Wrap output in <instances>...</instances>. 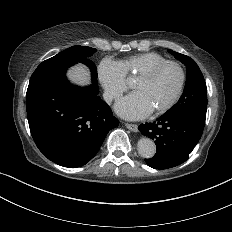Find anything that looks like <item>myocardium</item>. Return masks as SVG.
<instances>
[{
  "instance_id": "obj_1",
  "label": "myocardium",
  "mask_w": 232,
  "mask_h": 232,
  "mask_svg": "<svg viewBox=\"0 0 232 232\" xmlns=\"http://www.w3.org/2000/svg\"><path fill=\"white\" fill-rule=\"evenodd\" d=\"M168 65H174L175 67L178 68V70L181 74V83H180V86H179L177 92L175 93V95L171 99V101L169 103H167L165 106H163L162 108L155 110V113L158 115L164 114V113L168 112L169 110H171L177 104L179 99L181 98V96L184 92L186 80H187V75H186V71H185L184 67L182 66V64H180L177 61L166 60L162 63L155 65L154 67L149 69L147 72L141 74L140 76H138L136 78V80H138V81H148V80L152 79L161 69H163L164 67H166Z\"/></svg>"
}]
</instances>
